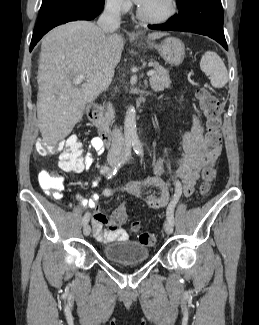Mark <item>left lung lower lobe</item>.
<instances>
[{
  "instance_id": "0a47b994",
  "label": "left lung lower lobe",
  "mask_w": 259,
  "mask_h": 325,
  "mask_svg": "<svg viewBox=\"0 0 259 325\" xmlns=\"http://www.w3.org/2000/svg\"><path fill=\"white\" fill-rule=\"evenodd\" d=\"M179 14L166 23L149 25L155 30L193 32L209 36L228 50L223 31V8L221 0H185L178 5Z\"/></svg>"
}]
</instances>
